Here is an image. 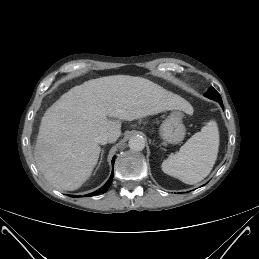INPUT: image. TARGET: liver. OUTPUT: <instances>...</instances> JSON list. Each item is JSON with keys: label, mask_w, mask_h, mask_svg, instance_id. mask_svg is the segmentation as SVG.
<instances>
[{"label": "liver", "mask_w": 259, "mask_h": 259, "mask_svg": "<svg viewBox=\"0 0 259 259\" xmlns=\"http://www.w3.org/2000/svg\"><path fill=\"white\" fill-rule=\"evenodd\" d=\"M169 110L193 111L184 98L145 78L114 75L86 81L64 93L42 117L36 166L57 190H76L98 162L101 147L95 138L100 133H109L113 143L121 135V120Z\"/></svg>", "instance_id": "1"}]
</instances>
